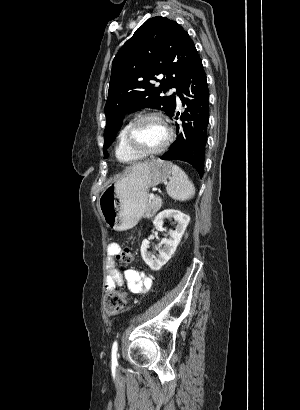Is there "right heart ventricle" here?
Returning a JSON list of instances; mask_svg holds the SVG:
<instances>
[{
	"label": "right heart ventricle",
	"instance_id": "e07e8e85",
	"mask_svg": "<svg viewBox=\"0 0 300 410\" xmlns=\"http://www.w3.org/2000/svg\"><path fill=\"white\" fill-rule=\"evenodd\" d=\"M131 122L126 123L117 135L115 154L121 162L131 163L140 160L142 157L131 151L125 141V133Z\"/></svg>",
	"mask_w": 300,
	"mask_h": 410
}]
</instances>
